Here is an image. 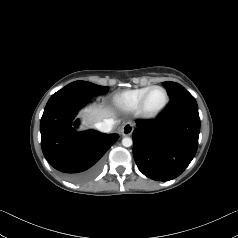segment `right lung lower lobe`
Segmentation results:
<instances>
[{
	"label": "right lung lower lobe",
	"instance_id": "1",
	"mask_svg": "<svg viewBox=\"0 0 238 238\" xmlns=\"http://www.w3.org/2000/svg\"><path fill=\"white\" fill-rule=\"evenodd\" d=\"M94 96L74 86L54 93L41 118V147L46 160L72 182H85L100 170L101 157L118 140L117 134L77 132L78 110Z\"/></svg>",
	"mask_w": 238,
	"mask_h": 238
}]
</instances>
